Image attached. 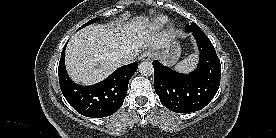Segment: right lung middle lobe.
Listing matches in <instances>:
<instances>
[{"label":"right lung middle lobe","mask_w":276,"mask_h":138,"mask_svg":"<svg viewBox=\"0 0 276 138\" xmlns=\"http://www.w3.org/2000/svg\"><path fill=\"white\" fill-rule=\"evenodd\" d=\"M94 21H96V18L93 19V20H90V21L87 22V23H85L83 26L80 27V29L83 28V27H85V26H87V25H89V24H91V23H93Z\"/></svg>","instance_id":"obj_1"}]
</instances>
